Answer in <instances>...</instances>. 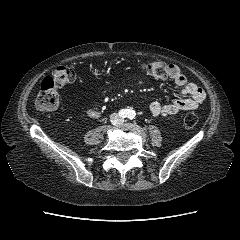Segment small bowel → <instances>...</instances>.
Masks as SVG:
<instances>
[{"label": "small bowel", "mask_w": 240, "mask_h": 240, "mask_svg": "<svg viewBox=\"0 0 240 240\" xmlns=\"http://www.w3.org/2000/svg\"><path fill=\"white\" fill-rule=\"evenodd\" d=\"M168 67V77L181 88L183 98L167 103L152 102L149 105V109L155 117H167L181 111L195 110L206 98L204 90L196 84L189 82L176 65L169 64Z\"/></svg>", "instance_id": "c3829d8e"}]
</instances>
